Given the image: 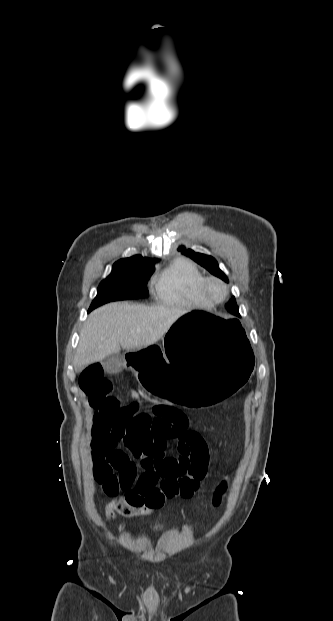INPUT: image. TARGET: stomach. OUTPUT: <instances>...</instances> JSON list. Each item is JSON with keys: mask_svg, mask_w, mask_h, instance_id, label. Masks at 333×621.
I'll return each mask as SVG.
<instances>
[{"mask_svg": "<svg viewBox=\"0 0 333 621\" xmlns=\"http://www.w3.org/2000/svg\"><path fill=\"white\" fill-rule=\"evenodd\" d=\"M125 358L148 396L168 399L178 412H213L246 388L255 353L236 318L193 310L163 340L131 348Z\"/></svg>", "mask_w": 333, "mask_h": 621, "instance_id": "0dacf381", "label": "stomach"}]
</instances>
